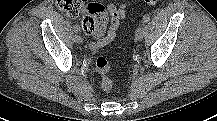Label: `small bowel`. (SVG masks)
I'll return each instance as SVG.
<instances>
[{
    "instance_id": "obj_1",
    "label": "small bowel",
    "mask_w": 217,
    "mask_h": 121,
    "mask_svg": "<svg viewBox=\"0 0 217 121\" xmlns=\"http://www.w3.org/2000/svg\"><path fill=\"white\" fill-rule=\"evenodd\" d=\"M127 8V3L120 6L111 3L108 4L107 10L110 15L109 23L106 24L102 32L89 34L92 36V40L89 42V47L92 51L99 50L115 38L119 25L126 18Z\"/></svg>"
}]
</instances>
